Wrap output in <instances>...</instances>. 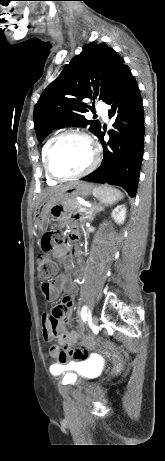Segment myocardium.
Instances as JSON below:
<instances>
[{"mask_svg":"<svg viewBox=\"0 0 165 461\" xmlns=\"http://www.w3.org/2000/svg\"><path fill=\"white\" fill-rule=\"evenodd\" d=\"M68 136H77V137L84 139L87 142L91 150V161L88 164V166L81 172L77 174H73V175L61 176L55 173L54 170L52 169L51 157L59 141ZM98 162H99V150L97 146L95 145V143L93 142L92 138L87 133L82 132L80 130L69 129L55 136L49 143L46 149V152H45L44 168H45L47 175L51 177L52 179L58 180V181H65V180H74V179H78V178L86 176L87 174H89L96 168V166L98 165Z\"/></svg>","mask_w":165,"mask_h":461,"instance_id":"myocardium-1","label":"myocardium"}]
</instances>
